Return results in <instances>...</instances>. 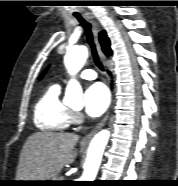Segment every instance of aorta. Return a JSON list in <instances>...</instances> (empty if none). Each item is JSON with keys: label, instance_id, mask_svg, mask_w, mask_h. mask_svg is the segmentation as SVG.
Masks as SVG:
<instances>
[{"label": "aorta", "instance_id": "aorta-1", "mask_svg": "<svg viewBox=\"0 0 178 186\" xmlns=\"http://www.w3.org/2000/svg\"><path fill=\"white\" fill-rule=\"evenodd\" d=\"M87 57L88 50L85 46H77L67 50L64 63L68 73L70 75L76 74L83 67ZM65 101L71 104L82 103V88L75 79L70 80L67 85ZM109 136L108 130H101L93 137L88 148L82 181H93L96 178Z\"/></svg>", "mask_w": 178, "mask_h": 186}]
</instances>
